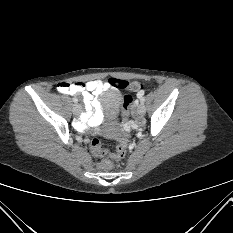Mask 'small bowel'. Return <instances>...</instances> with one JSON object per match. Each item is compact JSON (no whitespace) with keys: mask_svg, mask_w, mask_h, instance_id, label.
I'll return each instance as SVG.
<instances>
[{"mask_svg":"<svg viewBox=\"0 0 233 233\" xmlns=\"http://www.w3.org/2000/svg\"><path fill=\"white\" fill-rule=\"evenodd\" d=\"M109 82L102 80H92L88 82H62L58 84L57 90L64 94L78 95L81 94L84 103V112L80 115L77 122V128L80 131H86L89 127L97 129L102 121V108L95 95L101 94L110 87ZM144 92L140 90L138 97Z\"/></svg>","mask_w":233,"mask_h":233,"instance_id":"c3829d8e","label":"small bowel"}]
</instances>
